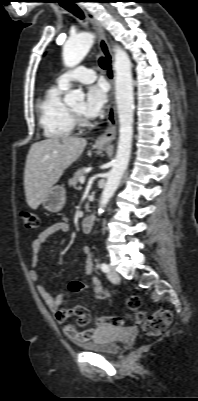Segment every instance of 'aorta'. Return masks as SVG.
Returning a JSON list of instances; mask_svg holds the SVG:
<instances>
[{"instance_id": "aorta-1", "label": "aorta", "mask_w": 198, "mask_h": 401, "mask_svg": "<svg viewBox=\"0 0 198 401\" xmlns=\"http://www.w3.org/2000/svg\"><path fill=\"white\" fill-rule=\"evenodd\" d=\"M94 40L91 33H81L70 38L63 47V61L66 66L79 64L89 52ZM115 95L119 118V141L116 157L103 189L98 213L104 208L119 187L124 172L128 167L133 137L134 94L131 61L128 54L119 46L114 49ZM84 99L81 90H72L65 95L64 102L72 105Z\"/></svg>"}]
</instances>
